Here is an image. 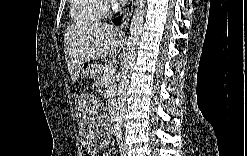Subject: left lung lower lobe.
<instances>
[{
    "instance_id": "0a47b994",
    "label": "left lung lower lobe",
    "mask_w": 247,
    "mask_h": 156,
    "mask_svg": "<svg viewBox=\"0 0 247 156\" xmlns=\"http://www.w3.org/2000/svg\"><path fill=\"white\" fill-rule=\"evenodd\" d=\"M120 21H121L120 17L113 20L114 23H119Z\"/></svg>"
}]
</instances>
